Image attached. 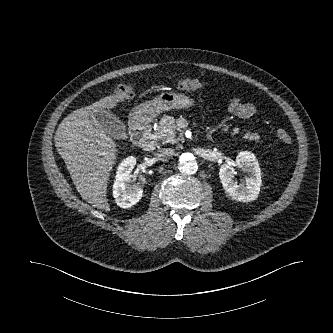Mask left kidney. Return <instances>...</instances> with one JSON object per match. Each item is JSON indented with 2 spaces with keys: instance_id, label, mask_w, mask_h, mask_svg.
<instances>
[{
  "instance_id": "5707ae66",
  "label": "left kidney",
  "mask_w": 333,
  "mask_h": 333,
  "mask_svg": "<svg viewBox=\"0 0 333 333\" xmlns=\"http://www.w3.org/2000/svg\"><path fill=\"white\" fill-rule=\"evenodd\" d=\"M236 165L241 170L248 173L246 181L238 183L234 175V165L223 164L219 171V178L224 190L232 199L240 202H250L258 197L262 184L261 170L255 155L248 151L240 152L236 157Z\"/></svg>"
}]
</instances>
